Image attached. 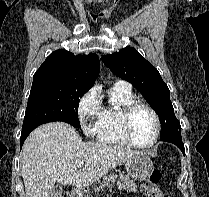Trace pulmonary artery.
<instances>
[{
  "label": "pulmonary artery",
  "mask_w": 209,
  "mask_h": 197,
  "mask_svg": "<svg viewBox=\"0 0 209 197\" xmlns=\"http://www.w3.org/2000/svg\"><path fill=\"white\" fill-rule=\"evenodd\" d=\"M115 85H121V86H130L127 82L122 81V80H118Z\"/></svg>",
  "instance_id": "pulmonary-artery-1"
}]
</instances>
